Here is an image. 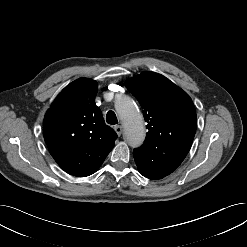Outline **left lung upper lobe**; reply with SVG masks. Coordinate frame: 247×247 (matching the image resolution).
Wrapping results in <instances>:
<instances>
[{
  "mask_svg": "<svg viewBox=\"0 0 247 247\" xmlns=\"http://www.w3.org/2000/svg\"><path fill=\"white\" fill-rule=\"evenodd\" d=\"M143 107L147 122L144 144L134 149L135 161L181 164L193 142L197 117L190 96L166 77L144 72L126 82Z\"/></svg>",
  "mask_w": 247,
  "mask_h": 247,
  "instance_id": "1",
  "label": "left lung upper lobe"
}]
</instances>
